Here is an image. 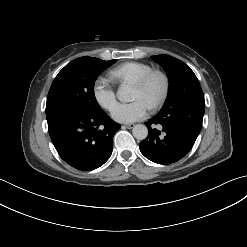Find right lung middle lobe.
<instances>
[{
    "label": "right lung middle lobe",
    "instance_id": "1",
    "mask_svg": "<svg viewBox=\"0 0 247 247\" xmlns=\"http://www.w3.org/2000/svg\"><path fill=\"white\" fill-rule=\"evenodd\" d=\"M116 60L80 57L68 63L55 77L47 96L46 115L65 108L86 112L101 110L94 84L99 74Z\"/></svg>",
    "mask_w": 247,
    "mask_h": 247
}]
</instances>
